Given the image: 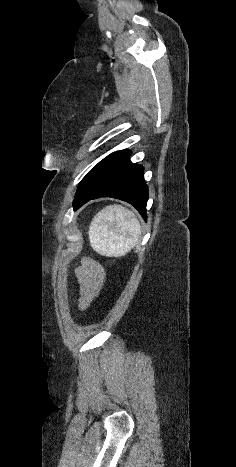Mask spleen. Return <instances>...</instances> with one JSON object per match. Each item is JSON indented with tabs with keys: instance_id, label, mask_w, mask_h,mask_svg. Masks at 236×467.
Here are the masks:
<instances>
[{
	"instance_id": "obj_1",
	"label": "spleen",
	"mask_w": 236,
	"mask_h": 467,
	"mask_svg": "<svg viewBox=\"0 0 236 467\" xmlns=\"http://www.w3.org/2000/svg\"><path fill=\"white\" fill-rule=\"evenodd\" d=\"M88 234L91 247L97 253L120 257L134 248L141 235V226L131 211L113 205L94 216Z\"/></svg>"
}]
</instances>
